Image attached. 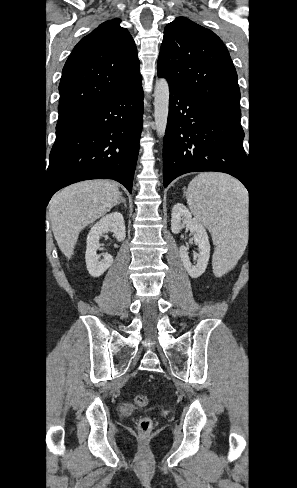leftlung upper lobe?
Wrapping results in <instances>:
<instances>
[{
	"instance_id": "1",
	"label": "left lung upper lobe",
	"mask_w": 297,
	"mask_h": 488,
	"mask_svg": "<svg viewBox=\"0 0 297 488\" xmlns=\"http://www.w3.org/2000/svg\"><path fill=\"white\" fill-rule=\"evenodd\" d=\"M157 67L171 88L240 123L237 73L227 48L211 30L185 17L169 23Z\"/></svg>"
}]
</instances>
